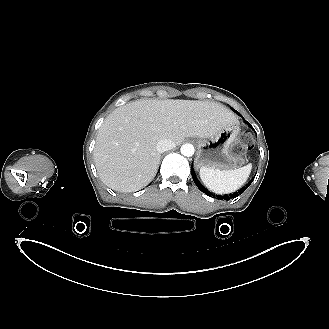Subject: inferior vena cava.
<instances>
[{
	"label": "inferior vena cava",
	"mask_w": 329,
	"mask_h": 329,
	"mask_svg": "<svg viewBox=\"0 0 329 329\" xmlns=\"http://www.w3.org/2000/svg\"><path fill=\"white\" fill-rule=\"evenodd\" d=\"M175 147L174 141L171 139H161L156 146V149L159 153L171 150Z\"/></svg>",
	"instance_id": "inferior-vena-cava-1"
}]
</instances>
